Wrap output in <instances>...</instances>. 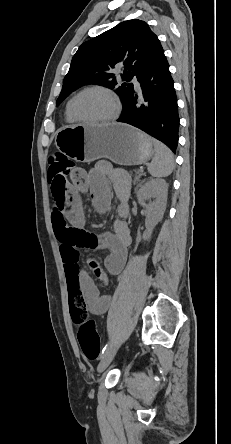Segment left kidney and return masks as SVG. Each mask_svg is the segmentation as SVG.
Masks as SVG:
<instances>
[{
  "mask_svg": "<svg viewBox=\"0 0 231 444\" xmlns=\"http://www.w3.org/2000/svg\"><path fill=\"white\" fill-rule=\"evenodd\" d=\"M168 194V184L164 179H151L147 181L138 191L137 199L141 206L146 210L145 227L146 230L142 237L138 236L137 240H149L154 227L163 218ZM154 199L153 202L146 201Z\"/></svg>",
  "mask_w": 231,
  "mask_h": 444,
  "instance_id": "left-kidney-1",
  "label": "left kidney"
}]
</instances>
